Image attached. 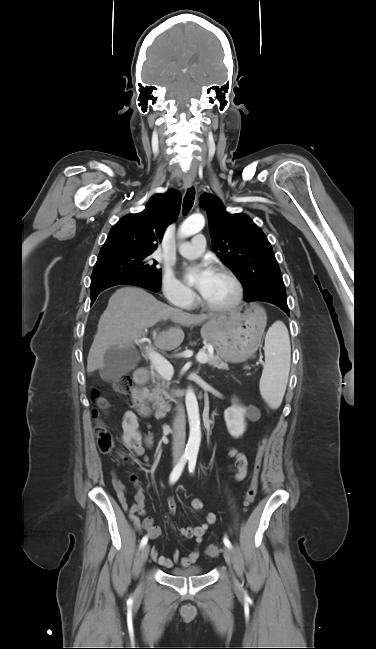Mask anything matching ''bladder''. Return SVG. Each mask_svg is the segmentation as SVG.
I'll list each match as a JSON object with an SVG mask.
<instances>
[{
  "label": "bladder",
  "mask_w": 376,
  "mask_h": 649,
  "mask_svg": "<svg viewBox=\"0 0 376 649\" xmlns=\"http://www.w3.org/2000/svg\"><path fill=\"white\" fill-rule=\"evenodd\" d=\"M204 570L199 565H192L189 567L176 568L172 570V574L179 577H193L203 574Z\"/></svg>",
  "instance_id": "1"
}]
</instances>
